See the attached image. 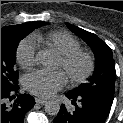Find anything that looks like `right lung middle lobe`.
I'll return each instance as SVG.
<instances>
[{"mask_svg":"<svg viewBox=\"0 0 123 123\" xmlns=\"http://www.w3.org/2000/svg\"><path fill=\"white\" fill-rule=\"evenodd\" d=\"M47 24L35 21L1 29V85L8 87L18 85V71L14 68L18 44L34 29Z\"/></svg>","mask_w":123,"mask_h":123,"instance_id":"obj_1","label":"right lung middle lobe"}]
</instances>
